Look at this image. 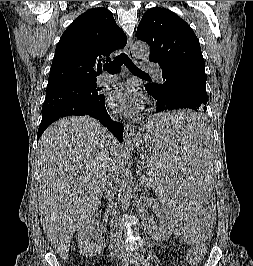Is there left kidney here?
<instances>
[{
	"label": "left kidney",
	"mask_w": 253,
	"mask_h": 266,
	"mask_svg": "<svg viewBox=\"0 0 253 266\" xmlns=\"http://www.w3.org/2000/svg\"><path fill=\"white\" fill-rule=\"evenodd\" d=\"M163 230H160L158 233H156V236L158 238L164 239L167 237V235L172 231V225L167 217H164L161 221Z\"/></svg>",
	"instance_id": "obj_1"
}]
</instances>
